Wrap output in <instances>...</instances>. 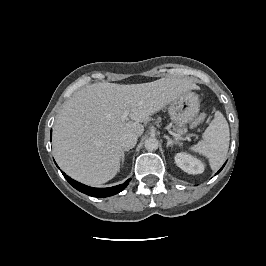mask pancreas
<instances>
[{
    "label": "pancreas",
    "mask_w": 266,
    "mask_h": 266,
    "mask_svg": "<svg viewBox=\"0 0 266 266\" xmlns=\"http://www.w3.org/2000/svg\"><path fill=\"white\" fill-rule=\"evenodd\" d=\"M179 133H182L184 131V128H177L176 129Z\"/></svg>",
    "instance_id": "1"
}]
</instances>
